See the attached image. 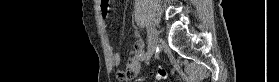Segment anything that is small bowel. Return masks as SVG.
Returning <instances> with one entry per match:
<instances>
[{
    "mask_svg": "<svg viewBox=\"0 0 279 82\" xmlns=\"http://www.w3.org/2000/svg\"><path fill=\"white\" fill-rule=\"evenodd\" d=\"M99 9L102 13V17L104 21L108 17V12L110 8V1L108 0H100L98 3ZM136 37L138 35L136 34ZM108 50H112V46L108 45ZM144 56V45L141 41H137L131 51V56L127 61V67L124 70H119L117 72V77L121 81L128 80L132 76L136 75L139 71V63L142 57ZM112 64L114 66H118L121 63V55L117 52L111 54Z\"/></svg>",
    "mask_w": 279,
    "mask_h": 82,
    "instance_id": "1",
    "label": "small bowel"
}]
</instances>
